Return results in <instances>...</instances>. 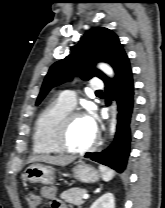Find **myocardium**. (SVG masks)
<instances>
[{"label":"myocardium","instance_id":"f54148a6","mask_svg":"<svg viewBox=\"0 0 165 208\" xmlns=\"http://www.w3.org/2000/svg\"><path fill=\"white\" fill-rule=\"evenodd\" d=\"M84 116L85 114L81 111L70 110L60 120L56 129V132H55V137H54L55 144L60 153L83 155L94 150L97 147L98 142H99V137L97 134H95V138L92 141V143L83 149H71L67 146L65 142V136L72 121L77 117H84Z\"/></svg>","mask_w":165,"mask_h":208}]
</instances>
